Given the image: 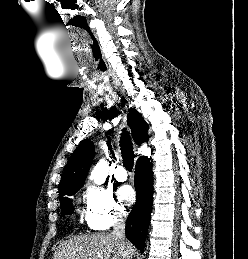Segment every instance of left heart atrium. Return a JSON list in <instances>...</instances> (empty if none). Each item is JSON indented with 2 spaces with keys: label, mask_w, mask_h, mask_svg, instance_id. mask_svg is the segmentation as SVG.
<instances>
[{
  "label": "left heart atrium",
  "mask_w": 248,
  "mask_h": 259,
  "mask_svg": "<svg viewBox=\"0 0 248 259\" xmlns=\"http://www.w3.org/2000/svg\"><path fill=\"white\" fill-rule=\"evenodd\" d=\"M118 198L127 206L132 205L135 202L136 195L133 188L129 185L121 186L118 191Z\"/></svg>",
  "instance_id": "obj_1"
}]
</instances>
